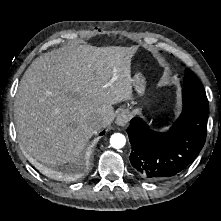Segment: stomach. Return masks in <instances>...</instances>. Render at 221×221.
Here are the masks:
<instances>
[{"mask_svg":"<svg viewBox=\"0 0 221 221\" xmlns=\"http://www.w3.org/2000/svg\"><path fill=\"white\" fill-rule=\"evenodd\" d=\"M132 80L133 87L137 94L139 96H143L146 88V81L144 76L140 72H137L135 73L134 78Z\"/></svg>","mask_w":221,"mask_h":221,"instance_id":"1","label":"stomach"}]
</instances>
